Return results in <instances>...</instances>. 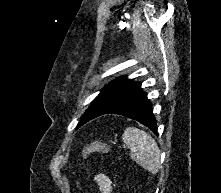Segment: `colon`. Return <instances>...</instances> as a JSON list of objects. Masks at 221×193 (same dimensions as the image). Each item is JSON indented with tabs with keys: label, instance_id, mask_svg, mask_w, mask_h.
Returning <instances> with one entry per match:
<instances>
[{
	"label": "colon",
	"instance_id": "colon-1",
	"mask_svg": "<svg viewBox=\"0 0 221 193\" xmlns=\"http://www.w3.org/2000/svg\"><path fill=\"white\" fill-rule=\"evenodd\" d=\"M108 151L109 148L107 145L105 144H101V143H92L89 144L87 147H85V149L82 152V158L85 159L91 152L93 151Z\"/></svg>",
	"mask_w": 221,
	"mask_h": 193
}]
</instances>
